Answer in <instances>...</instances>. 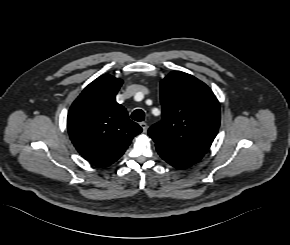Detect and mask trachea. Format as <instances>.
Segmentation results:
<instances>
[{
	"instance_id": "1",
	"label": "trachea",
	"mask_w": 290,
	"mask_h": 245,
	"mask_svg": "<svg viewBox=\"0 0 290 245\" xmlns=\"http://www.w3.org/2000/svg\"><path fill=\"white\" fill-rule=\"evenodd\" d=\"M131 118L135 121H138V122L143 121L145 118L144 111L141 109L134 110V112L131 115Z\"/></svg>"
}]
</instances>
